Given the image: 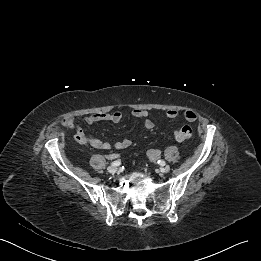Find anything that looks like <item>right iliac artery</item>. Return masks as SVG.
<instances>
[{
    "label": "right iliac artery",
    "instance_id": "1",
    "mask_svg": "<svg viewBox=\"0 0 261 261\" xmlns=\"http://www.w3.org/2000/svg\"><path fill=\"white\" fill-rule=\"evenodd\" d=\"M121 164L120 160L114 161L111 163L112 166H119Z\"/></svg>",
    "mask_w": 261,
    "mask_h": 261
}]
</instances>
